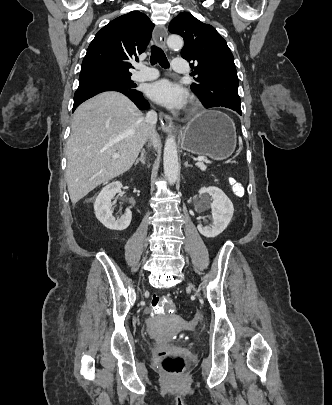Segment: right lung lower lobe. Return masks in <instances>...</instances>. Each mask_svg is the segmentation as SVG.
<instances>
[{
  "label": "right lung lower lobe",
  "instance_id": "obj_1",
  "mask_svg": "<svg viewBox=\"0 0 332 405\" xmlns=\"http://www.w3.org/2000/svg\"><path fill=\"white\" fill-rule=\"evenodd\" d=\"M104 91H118L126 95L129 99H131L135 105L139 109H147L149 107V104L147 100L144 99L142 93L138 90L132 89H126L120 86H115L111 84H100V85H92L88 86L85 88L78 89L75 92L74 95V105H73V111L85 100L95 96L98 93L104 92Z\"/></svg>",
  "mask_w": 332,
  "mask_h": 405
}]
</instances>
